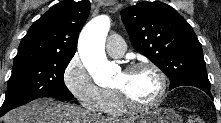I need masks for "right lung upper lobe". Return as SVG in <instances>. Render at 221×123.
I'll return each mask as SVG.
<instances>
[{
  "instance_id": "cb5924a9",
  "label": "right lung upper lobe",
  "mask_w": 221,
  "mask_h": 123,
  "mask_svg": "<svg viewBox=\"0 0 221 123\" xmlns=\"http://www.w3.org/2000/svg\"><path fill=\"white\" fill-rule=\"evenodd\" d=\"M90 2L61 1L41 16L22 38L18 51L75 54Z\"/></svg>"
}]
</instances>
